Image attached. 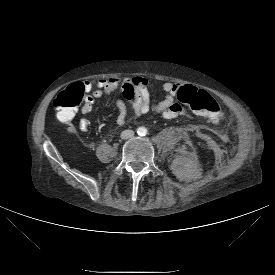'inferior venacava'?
Listing matches in <instances>:
<instances>
[{"label": "inferior vena cava", "instance_id": "obj_1", "mask_svg": "<svg viewBox=\"0 0 275 275\" xmlns=\"http://www.w3.org/2000/svg\"><path fill=\"white\" fill-rule=\"evenodd\" d=\"M133 136H134V132L132 130H124L121 133L122 139H129V138H132Z\"/></svg>", "mask_w": 275, "mask_h": 275}]
</instances>
